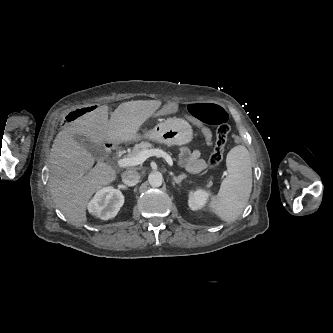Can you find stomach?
<instances>
[{"label":"stomach","instance_id":"1","mask_svg":"<svg viewBox=\"0 0 333 333\" xmlns=\"http://www.w3.org/2000/svg\"><path fill=\"white\" fill-rule=\"evenodd\" d=\"M145 137L168 146L183 145L192 141L193 130L186 121L170 118L158 123L152 130L147 131Z\"/></svg>","mask_w":333,"mask_h":333}]
</instances>
